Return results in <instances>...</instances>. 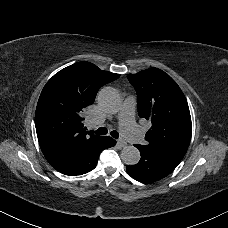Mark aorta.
I'll return each instance as SVG.
<instances>
[{"instance_id":"obj_1","label":"aorta","mask_w":228,"mask_h":228,"mask_svg":"<svg viewBox=\"0 0 228 228\" xmlns=\"http://www.w3.org/2000/svg\"><path fill=\"white\" fill-rule=\"evenodd\" d=\"M97 99L100 108L107 113H116L121 105L120 95L118 91L112 87H104L101 89ZM121 159L127 165H135L140 160V152L132 145L125 146L121 151Z\"/></svg>"}]
</instances>
